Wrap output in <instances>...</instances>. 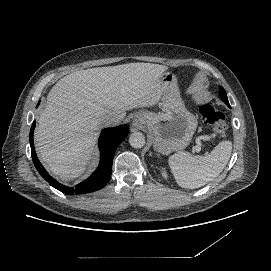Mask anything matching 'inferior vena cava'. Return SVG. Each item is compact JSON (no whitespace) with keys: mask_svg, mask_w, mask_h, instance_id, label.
I'll use <instances>...</instances> for the list:
<instances>
[{"mask_svg":"<svg viewBox=\"0 0 271 271\" xmlns=\"http://www.w3.org/2000/svg\"><path fill=\"white\" fill-rule=\"evenodd\" d=\"M96 122L102 127H110L118 125L120 120L113 116L101 115L96 119Z\"/></svg>","mask_w":271,"mask_h":271,"instance_id":"obj_1","label":"inferior vena cava"}]
</instances>
